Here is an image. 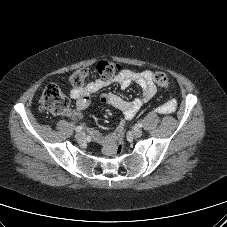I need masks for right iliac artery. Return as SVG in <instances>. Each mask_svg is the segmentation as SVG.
<instances>
[{"label": "right iliac artery", "instance_id": "82829eb1", "mask_svg": "<svg viewBox=\"0 0 227 227\" xmlns=\"http://www.w3.org/2000/svg\"><path fill=\"white\" fill-rule=\"evenodd\" d=\"M82 129H83L82 126H77V127L75 128V131H76V132H80Z\"/></svg>", "mask_w": 227, "mask_h": 227}]
</instances>
